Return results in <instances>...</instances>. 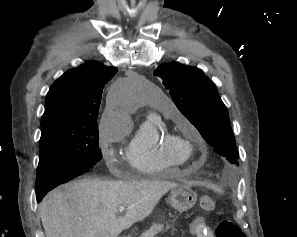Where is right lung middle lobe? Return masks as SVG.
<instances>
[{"mask_svg": "<svg viewBox=\"0 0 297 237\" xmlns=\"http://www.w3.org/2000/svg\"><path fill=\"white\" fill-rule=\"evenodd\" d=\"M41 127L39 190L55 187L61 177L81 175L101 159L97 119H57Z\"/></svg>", "mask_w": 297, "mask_h": 237, "instance_id": "1", "label": "right lung middle lobe"}]
</instances>
